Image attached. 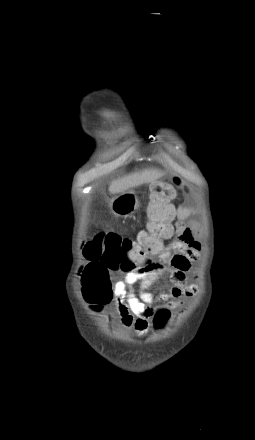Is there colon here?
<instances>
[{
    "instance_id": "5ec220e1",
    "label": "colon",
    "mask_w": 255,
    "mask_h": 440,
    "mask_svg": "<svg viewBox=\"0 0 255 440\" xmlns=\"http://www.w3.org/2000/svg\"><path fill=\"white\" fill-rule=\"evenodd\" d=\"M173 183L159 182L151 187L149 204L146 211L145 229L136 238L123 237L117 233H98L86 241L83 246L85 258L90 262L82 274V291L87 302L101 305L111 301L110 271H133L153 264L154 258L162 260L167 247L162 239L172 233L175 196ZM171 313L159 310L154 319L156 329L165 326Z\"/></svg>"
}]
</instances>
